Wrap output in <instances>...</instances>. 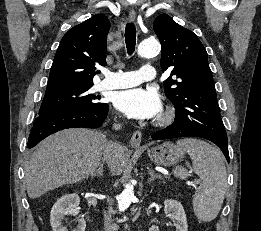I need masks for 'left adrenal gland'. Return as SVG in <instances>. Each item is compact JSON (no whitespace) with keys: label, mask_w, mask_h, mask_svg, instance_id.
I'll use <instances>...</instances> for the list:
<instances>
[{"label":"left adrenal gland","mask_w":261,"mask_h":231,"mask_svg":"<svg viewBox=\"0 0 261 231\" xmlns=\"http://www.w3.org/2000/svg\"><path fill=\"white\" fill-rule=\"evenodd\" d=\"M148 174L150 175V178L148 179V183L150 184L155 179H161L162 177L160 175L155 174L154 170L150 169Z\"/></svg>","instance_id":"a2214340"}]
</instances>
